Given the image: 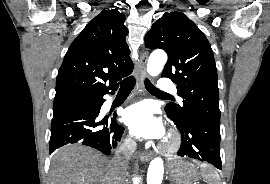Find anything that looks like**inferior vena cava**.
Instances as JSON below:
<instances>
[{"label": "inferior vena cava", "instance_id": "obj_1", "mask_svg": "<svg viewBox=\"0 0 270 184\" xmlns=\"http://www.w3.org/2000/svg\"><path fill=\"white\" fill-rule=\"evenodd\" d=\"M136 147V142L127 139L121 143L115 152V157L112 160V163L115 165L118 171L124 172L127 169L128 160L130 158L131 151Z\"/></svg>", "mask_w": 270, "mask_h": 184}]
</instances>
